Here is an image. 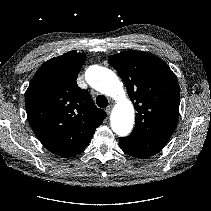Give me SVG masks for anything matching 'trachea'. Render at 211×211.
Instances as JSON below:
<instances>
[{
    "label": "trachea",
    "instance_id": "1",
    "mask_svg": "<svg viewBox=\"0 0 211 211\" xmlns=\"http://www.w3.org/2000/svg\"><path fill=\"white\" fill-rule=\"evenodd\" d=\"M96 103H97V105H98L99 107H101V108H105V107L108 106V100H107V98H106L105 96H103V95H98V96L96 97Z\"/></svg>",
    "mask_w": 211,
    "mask_h": 211
}]
</instances>
